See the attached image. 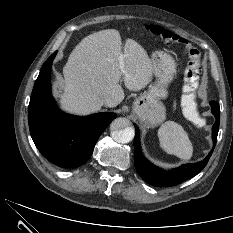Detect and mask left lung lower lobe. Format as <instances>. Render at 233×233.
Here are the masks:
<instances>
[{"label": "left lung lower lobe", "mask_w": 233, "mask_h": 233, "mask_svg": "<svg viewBox=\"0 0 233 233\" xmlns=\"http://www.w3.org/2000/svg\"><path fill=\"white\" fill-rule=\"evenodd\" d=\"M210 105L212 108V114L216 117V122L212 128L214 146L204 161L199 162L194 165L192 164L181 165L180 167L176 169L166 171L150 163L142 155L141 148H140L139 130H138V127L135 125L136 134L134 138V151H135L134 164H135L138 174L142 177L143 180L157 187L174 186L184 180L192 178L206 166L216 145L217 135H218V130H219V118H220L219 117V112H220L219 104L215 101H211Z\"/></svg>", "instance_id": "1"}]
</instances>
